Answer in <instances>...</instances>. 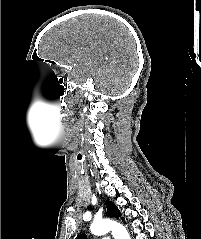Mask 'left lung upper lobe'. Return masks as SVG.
<instances>
[{"label":"left lung upper lobe","mask_w":201,"mask_h":239,"mask_svg":"<svg viewBox=\"0 0 201 239\" xmlns=\"http://www.w3.org/2000/svg\"><path fill=\"white\" fill-rule=\"evenodd\" d=\"M106 206H107V213L110 216L115 217V218L121 216L119 209L116 207V205L113 202L107 200ZM76 239H87V236H86V234H80L79 236H77Z\"/></svg>","instance_id":"5c2ea615"}]
</instances>
